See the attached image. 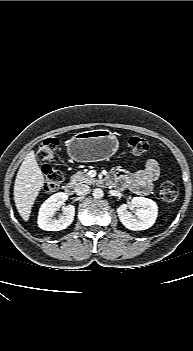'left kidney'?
<instances>
[{"label": "left kidney", "instance_id": "obj_1", "mask_svg": "<svg viewBox=\"0 0 193 351\" xmlns=\"http://www.w3.org/2000/svg\"><path fill=\"white\" fill-rule=\"evenodd\" d=\"M131 204L135 207V215L128 211V206L122 204L117 208L121 223L129 230L140 231L150 228L156 221L157 204L145 197H134Z\"/></svg>", "mask_w": 193, "mask_h": 351}]
</instances>
